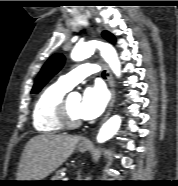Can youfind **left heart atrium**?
<instances>
[{"label":"left heart atrium","instance_id":"1","mask_svg":"<svg viewBox=\"0 0 178 186\" xmlns=\"http://www.w3.org/2000/svg\"><path fill=\"white\" fill-rule=\"evenodd\" d=\"M108 102V94L105 88L100 85L87 87L82 95L79 105V116L84 120H92L99 117Z\"/></svg>","mask_w":178,"mask_h":186}]
</instances>
